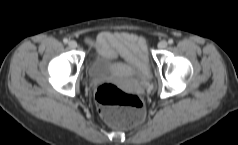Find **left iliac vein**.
<instances>
[{
    "label": "left iliac vein",
    "instance_id": "1",
    "mask_svg": "<svg viewBox=\"0 0 238 145\" xmlns=\"http://www.w3.org/2000/svg\"><path fill=\"white\" fill-rule=\"evenodd\" d=\"M159 49H165L167 47V42L162 40L158 44Z\"/></svg>",
    "mask_w": 238,
    "mask_h": 145
}]
</instances>
